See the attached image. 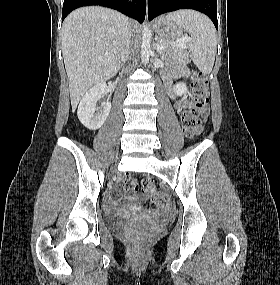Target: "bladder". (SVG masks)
I'll use <instances>...</instances> for the list:
<instances>
[{
    "instance_id": "bladder-1",
    "label": "bladder",
    "mask_w": 280,
    "mask_h": 285,
    "mask_svg": "<svg viewBox=\"0 0 280 285\" xmlns=\"http://www.w3.org/2000/svg\"><path fill=\"white\" fill-rule=\"evenodd\" d=\"M105 218L107 222L112 225H118L124 222V220L121 217L113 215V214H106Z\"/></svg>"
}]
</instances>
